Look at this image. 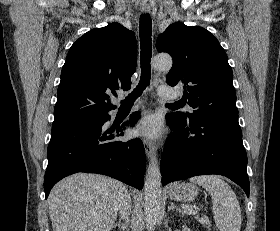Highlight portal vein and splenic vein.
I'll list each match as a JSON object with an SVG mask.
<instances>
[{
	"label": "portal vein and splenic vein",
	"mask_w": 280,
	"mask_h": 231,
	"mask_svg": "<svg viewBox=\"0 0 280 231\" xmlns=\"http://www.w3.org/2000/svg\"><path fill=\"white\" fill-rule=\"evenodd\" d=\"M186 213H190V215H195L197 213V209H185Z\"/></svg>",
	"instance_id": "portal-vein-and-splenic-vein-1"
}]
</instances>
